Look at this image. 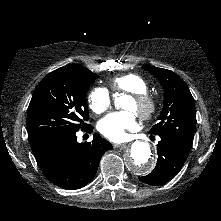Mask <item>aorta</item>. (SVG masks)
Instances as JSON below:
<instances>
[{
  "instance_id": "762f6f07",
  "label": "aorta",
  "mask_w": 221,
  "mask_h": 221,
  "mask_svg": "<svg viewBox=\"0 0 221 221\" xmlns=\"http://www.w3.org/2000/svg\"><path fill=\"white\" fill-rule=\"evenodd\" d=\"M122 97L117 99L116 105H120ZM125 165L128 170L136 175L150 173L154 168L152 153L149 145L143 141H135L130 151L125 155Z\"/></svg>"
}]
</instances>
